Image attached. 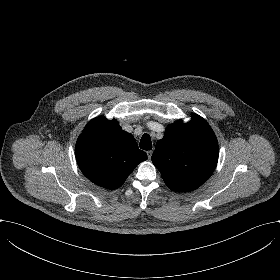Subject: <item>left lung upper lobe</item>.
Segmentation results:
<instances>
[{"label": "left lung upper lobe", "instance_id": "left-lung-upper-lobe-1", "mask_svg": "<svg viewBox=\"0 0 280 280\" xmlns=\"http://www.w3.org/2000/svg\"><path fill=\"white\" fill-rule=\"evenodd\" d=\"M218 142L209 124L197 114L167 126L156 144L152 162L173 191L189 192L201 186L218 161Z\"/></svg>", "mask_w": 280, "mask_h": 280}]
</instances>
